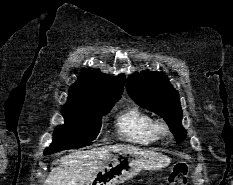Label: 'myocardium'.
I'll use <instances>...</instances> for the list:
<instances>
[{
  "label": "myocardium",
  "instance_id": "1",
  "mask_svg": "<svg viewBox=\"0 0 233 185\" xmlns=\"http://www.w3.org/2000/svg\"><path fill=\"white\" fill-rule=\"evenodd\" d=\"M157 128L159 135H166L169 132L168 126L165 123H159Z\"/></svg>",
  "mask_w": 233,
  "mask_h": 185
}]
</instances>
